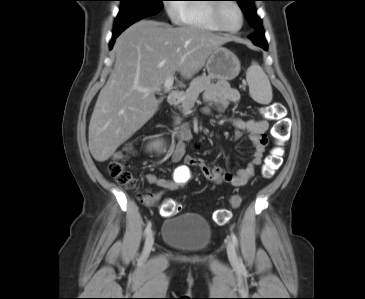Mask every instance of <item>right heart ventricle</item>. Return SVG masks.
Returning <instances> with one entry per match:
<instances>
[{
  "mask_svg": "<svg viewBox=\"0 0 365 299\" xmlns=\"http://www.w3.org/2000/svg\"><path fill=\"white\" fill-rule=\"evenodd\" d=\"M194 2H211L214 0H185ZM213 3L179 4L176 21L181 25L218 31L212 19Z\"/></svg>",
  "mask_w": 365,
  "mask_h": 299,
  "instance_id": "1",
  "label": "right heart ventricle"
}]
</instances>
